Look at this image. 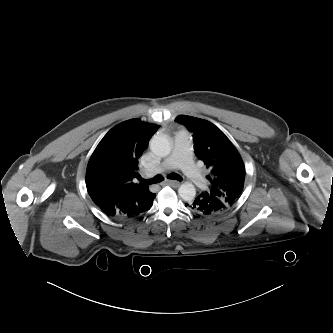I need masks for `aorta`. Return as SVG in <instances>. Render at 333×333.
Returning <instances> with one entry per match:
<instances>
[{
	"instance_id": "762f6f07",
	"label": "aorta",
	"mask_w": 333,
	"mask_h": 333,
	"mask_svg": "<svg viewBox=\"0 0 333 333\" xmlns=\"http://www.w3.org/2000/svg\"><path fill=\"white\" fill-rule=\"evenodd\" d=\"M150 149L157 156H168L171 152V143L167 135H154L150 140ZM178 193L184 201H192L196 195V189L192 183L185 182L179 187Z\"/></svg>"
}]
</instances>
